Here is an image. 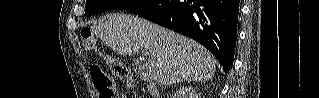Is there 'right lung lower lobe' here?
Instances as JSON below:
<instances>
[{
    "label": "right lung lower lobe",
    "instance_id": "obj_1",
    "mask_svg": "<svg viewBox=\"0 0 319 98\" xmlns=\"http://www.w3.org/2000/svg\"><path fill=\"white\" fill-rule=\"evenodd\" d=\"M205 46L225 72L232 67L239 0H151L129 10Z\"/></svg>",
    "mask_w": 319,
    "mask_h": 98
}]
</instances>
